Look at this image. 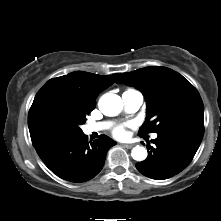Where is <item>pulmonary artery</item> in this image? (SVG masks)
Here are the masks:
<instances>
[{"label":"pulmonary artery","instance_id":"obj_1","mask_svg":"<svg viewBox=\"0 0 221 221\" xmlns=\"http://www.w3.org/2000/svg\"><path fill=\"white\" fill-rule=\"evenodd\" d=\"M122 100L124 103L125 110L129 113L136 112L143 104L142 94L135 90L125 91L122 94ZM109 125L110 124L108 122L92 123L86 125L85 131L87 133L98 132L108 128ZM152 138H157V134H153Z\"/></svg>","mask_w":221,"mask_h":221}]
</instances>
